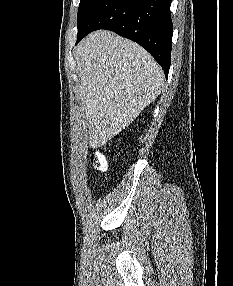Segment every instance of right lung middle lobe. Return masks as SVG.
<instances>
[{"label":"right lung middle lobe","instance_id":"dd1d6c3e","mask_svg":"<svg viewBox=\"0 0 233 286\" xmlns=\"http://www.w3.org/2000/svg\"><path fill=\"white\" fill-rule=\"evenodd\" d=\"M96 0H81L78 8L77 24L81 23L89 9L95 3Z\"/></svg>","mask_w":233,"mask_h":286}]
</instances>
